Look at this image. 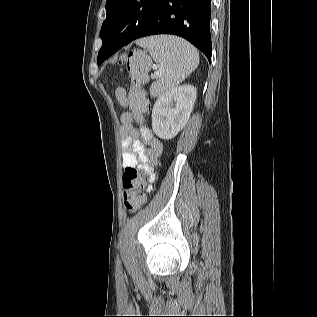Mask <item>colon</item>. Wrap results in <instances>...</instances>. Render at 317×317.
Instances as JSON below:
<instances>
[{
  "label": "colon",
  "mask_w": 317,
  "mask_h": 317,
  "mask_svg": "<svg viewBox=\"0 0 317 317\" xmlns=\"http://www.w3.org/2000/svg\"><path fill=\"white\" fill-rule=\"evenodd\" d=\"M120 62L125 65L128 71V79L132 87L139 88L147 80L146 72L149 67V60L139 51H129ZM123 201L128 211L134 212L140 209L145 201L142 193L144 181L137 169L134 167L126 168L122 176Z\"/></svg>",
  "instance_id": "colon-1"
}]
</instances>
